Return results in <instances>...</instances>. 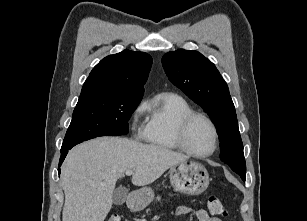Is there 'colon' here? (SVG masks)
<instances>
[{
    "label": "colon",
    "mask_w": 307,
    "mask_h": 221,
    "mask_svg": "<svg viewBox=\"0 0 307 221\" xmlns=\"http://www.w3.org/2000/svg\"><path fill=\"white\" fill-rule=\"evenodd\" d=\"M208 210L212 215L226 216L227 210L221 200L214 195L208 197L207 201ZM107 221H120L117 215L110 216Z\"/></svg>",
    "instance_id": "1"
}]
</instances>
